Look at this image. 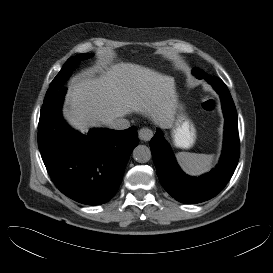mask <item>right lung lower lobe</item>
I'll return each instance as SVG.
<instances>
[{
	"label": "right lung lower lobe",
	"instance_id": "1",
	"mask_svg": "<svg viewBox=\"0 0 273 273\" xmlns=\"http://www.w3.org/2000/svg\"><path fill=\"white\" fill-rule=\"evenodd\" d=\"M67 88L43 102L38 147L55 186L69 198L101 205L117 192L127 161L138 145L137 128L93 129L83 135L63 120L61 106Z\"/></svg>",
	"mask_w": 273,
	"mask_h": 273
}]
</instances>
